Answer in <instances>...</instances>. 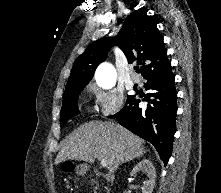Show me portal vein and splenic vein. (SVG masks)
I'll use <instances>...</instances> for the list:
<instances>
[{"label":"portal vein and splenic vein","instance_id":"obj_1","mask_svg":"<svg viewBox=\"0 0 221 193\" xmlns=\"http://www.w3.org/2000/svg\"><path fill=\"white\" fill-rule=\"evenodd\" d=\"M100 164H101V166H103V167H107V166H108V161L105 160V159H102V160L100 161Z\"/></svg>","mask_w":221,"mask_h":193}]
</instances>
